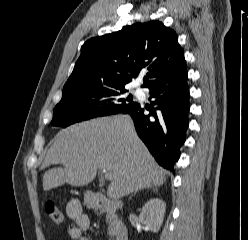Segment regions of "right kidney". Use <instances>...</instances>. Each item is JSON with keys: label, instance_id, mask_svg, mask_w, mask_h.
I'll list each match as a JSON object with an SVG mask.
<instances>
[{"label": "right kidney", "instance_id": "obj_1", "mask_svg": "<svg viewBox=\"0 0 248 240\" xmlns=\"http://www.w3.org/2000/svg\"><path fill=\"white\" fill-rule=\"evenodd\" d=\"M166 204L158 198L150 199L142 208L139 220L151 231L158 232L164 219Z\"/></svg>", "mask_w": 248, "mask_h": 240}]
</instances>
